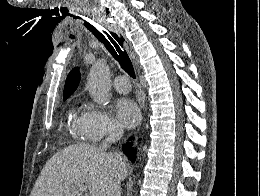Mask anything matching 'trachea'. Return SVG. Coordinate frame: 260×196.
Returning a JSON list of instances; mask_svg holds the SVG:
<instances>
[{"instance_id": "1", "label": "trachea", "mask_w": 260, "mask_h": 196, "mask_svg": "<svg viewBox=\"0 0 260 196\" xmlns=\"http://www.w3.org/2000/svg\"><path fill=\"white\" fill-rule=\"evenodd\" d=\"M107 40L103 43L111 55L118 61L121 68L132 78H136V74L126 50L123 49L124 39L116 33H105Z\"/></svg>"}]
</instances>
